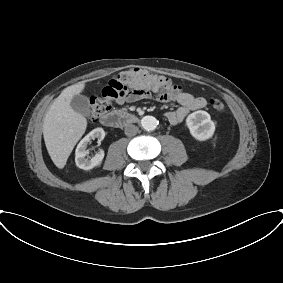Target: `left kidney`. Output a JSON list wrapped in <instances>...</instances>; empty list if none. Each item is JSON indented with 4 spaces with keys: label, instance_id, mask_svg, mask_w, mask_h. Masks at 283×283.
I'll list each match as a JSON object with an SVG mask.
<instances>
[{
    "label": "left kidney",
    "instance_id": "5707ae66",
    "mask_svg": "<svg viewBox=\"0 0 283 283\" xmlns=\"http://www.w3.org/2000/svg\"><path fill=\"white\" fill-rule=\"evenodd\" d=\"M186 125L189 128L191 135L199 141H205L211 138L216 127V123L211 120L210 115L202 110H198L188 115L186 118Z\"/></svg>",
    "mask_w": 283,
    "mask_h": 283
}]
</instances>
